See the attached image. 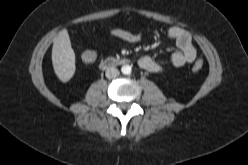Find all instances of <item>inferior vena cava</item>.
<instances>
[{
	"label": "inferior vena cava",
	"instance_id": "602c4592",
	"mask_svg": "<svg viewBox=\"0 0 248 165\" xmlns=\"http://www.w3.org/2000/svg\"><path fill=\"white\" fill-rule=\"evenodd\" d=\"M119 74H120L119 70L115 67L108 68L105 73L108 79L116 78L117 76H119Z\"/></svg>",
	"mask_w": 248,
	"mask_h": 165
}]
</instances>
